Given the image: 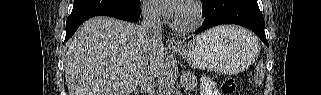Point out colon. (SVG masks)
<instances>
[{
	"label": "colon",
	"mask_w": 321,
	"mask_h": 95,
	"mask_svg": "<svg viewBox=\"0 0 321 95\" xmlns=\"http://www.w3.org/2000/svg\"><path fill=\"white\" fill-rule=\"evenodd\" d=\"M236 89V82L232 78H228L223 81L221 84V93L222 94H233Z\"/></svg>",
	"instance_id": "5ec220e1"
}]
</instances>
